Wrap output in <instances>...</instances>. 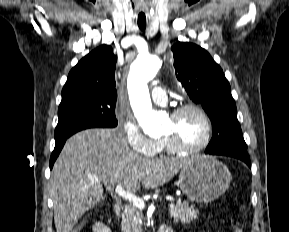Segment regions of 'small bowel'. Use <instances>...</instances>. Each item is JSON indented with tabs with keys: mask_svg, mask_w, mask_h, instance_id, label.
<instances>
[{
	"mask_svg": "<svg viewBox=\"0 0 289 232\" xmlns=\"http://www.w3.org/2000/svg\"><path fill=\"white\" fill-rule=\"evenodd\" d=\"M92 232H112L109 226L103 222H96L92 226ZM171 232H173L171 230Z\"/></svg>",
	"mask_w": 289,
	"mask_h": 232,
	"instance_id": "obj_1",
	"label": "small bowel"
}]
</instances>
